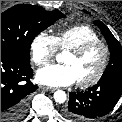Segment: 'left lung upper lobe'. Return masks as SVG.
Wrapping results in <instances>:
<instances>
[{
    "label": "left lung upper lobe",
    "mask_w": 122,
    "mask_h": 122,
    "mask_svg": "<svg viewBox=\"0 0 122 122\" xmlns=\"http://www.w3.org/2000/svg\"><path fill=\"white\" fill-rule=\"evenodd\" d=\"M94 24L100 28L110 50V61L101 79L122 75V46L101 21L96 20Z\"/></svg>",
    "instance_id": "1"
}]
</instances>
